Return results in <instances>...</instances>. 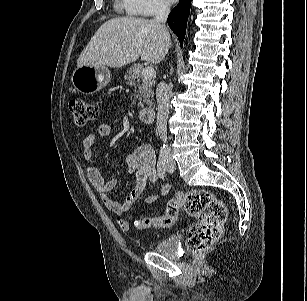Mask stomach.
<instances>
[{
    "label": "stomach",
    "mask_w": 307,
    "mask_h": 301,
    "mask_svg": "<svg viewBox=\"0 0 307 301\" xmlns=\"http://www.w3.org/2000/svg\"><path fill=\"white\" fill-rule=\"evenodd\" d=\"M111 78L106 66L83 65L77 67L71 77L74 88L84 94H94L105 87Z\"/></svg>",
    "instance_id": "0dacf381"
}]
</instances>
